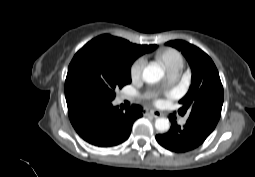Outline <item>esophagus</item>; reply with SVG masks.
Masks as SVG:
<instances>
[{"mask_svg": "<svg viewBox=\"0 0 255 177\" xmlns=\"http://www.w3.org/2000/svg\"><path fill=\"white\" fill-rule=\"evenodd\" d=\"M144 115L146 116L151 115L154 118L161 117V113L159 111L151 110V109L144 110Z\"/></svg>", "mask_w": 255, "mask_h": 177, "instance_id": "obj_1", "label": "esophagus"}]
</instances>
